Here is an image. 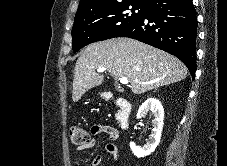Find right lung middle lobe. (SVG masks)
Wrapping results in <instances>:
<instances>
[{
    "instance_id": "1",
    "label": "right lung middle lobe",
    "mask_w": 227,
    "mask_h": 166,
    "mask_svg": "<svg viewBox=\"0 0 227 166\" xmlns=\"http://www.w3.org/2000/svg\"><path fill=\"white\" fill-rule=\"evenodd\" d=\"M145 11L146 5L129 3L77 13L72 28L74 52L90 43L117 37L139 21Z\"/></svg>"
}]
</instances>
